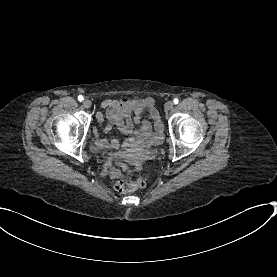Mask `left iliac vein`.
<instances>
[{"instance_id": "1", "label": "left iliac vein", "mask_w": 277, "mask_h": 277, "mask_svg": "<svg viewBox=\"0 0 277 277\" xmlns=\"http://www.w3.org/2000/svg\"><path fill=\"white\" fill-rule=\"evenodd\" d=\"M173 106H174V103L172 101H167L165 103V109L166 110H171L173 108Z\"/></svg>"}]
</instances>
